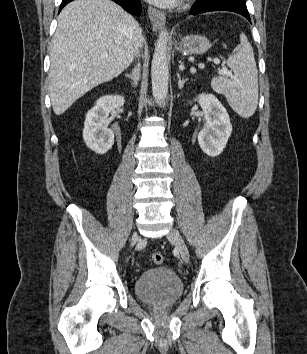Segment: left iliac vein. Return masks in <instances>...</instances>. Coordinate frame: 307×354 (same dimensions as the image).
Returning <instances> with one entry per match:
<instances>
[{"label": "left iliac vein", "mask_w": 307, "mask_h": 354, "mask_svg": "<svg viewBox=\"0 0 307 354\" xmlns=\"http://www.w3.org/2000/svg\"><path fill=\"white\" fill-rule=\"evenodd\" d=\"M167 238L174 243L176 248L179 250L180 255L185 263L189 262V250L188 247L180 235V233L176 229H171L167 234Z\"/></svg>", "instance_id": "1"}]
</instances>
